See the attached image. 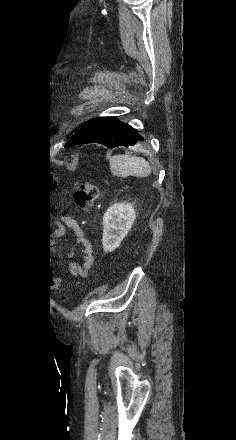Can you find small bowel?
Returning <instances> with one entry per match:
<instances>
[{
  "label": "small bowel",
  "mask_w": 236,
  "mask_h": 440,
  "mask_svg": "<svg viewBox=\"0 0 236 440\" xmlns=\"http://www.w3.org/2000/svg\"><path fill=\"white\" fill-rule=\"evenodd\" d=\"M62 224H65L67 227L72 229L76 246L80 247L81 249V261L72 262L70 264V272L74 277H86L89 274L94 262L92 246L84 237L83 230L76 219L71 216L63 217L61 222L57 224V235L62 233ZM70 255L75 256V251H70Z\"/></svg>",
  "instance_id": "obj_1"
}]
</instances>
